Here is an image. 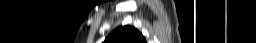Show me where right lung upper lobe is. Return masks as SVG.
Returning a JSON list of instances; mask_svg holds the SVG:
<instances>
[{
    "label": "right lung upper lobe",
    "instance_id": "right-lung-upper-lobe-1",
    "mask_svg": "<svg viewBox=\"0 0 256 43\" xmlns=\"http://www.w3.org/2000/svg\"><path fill=\"white\" fill-rule=\"evenodd\" d=\"M104 43H146V40L134 27L121 26L115 29Z\"/></svg>",
    "mask_w": 256,
    "mask_h": 43
}]
</instances>
